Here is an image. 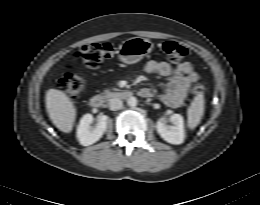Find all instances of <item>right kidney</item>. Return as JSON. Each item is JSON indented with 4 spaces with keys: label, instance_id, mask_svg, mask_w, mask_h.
<instances>
[{
    "label": "right kidney",
    "instance_id": "right-kidney-1",
    "mask_svg": "<svg viewBox=\"0 0 260 205\" xmlns=\"http://www.w3.org/2000/svg\"><path fill=\"white\" fill-rule=\"evenodd\" d=\"M93 121V116L91 114H85L79 123L77 129V138L81 145L89 146L97 142L107 128V116H101L99 119V123L95 128L91 127V123Z\"/></svg>",
    "mask_w": 260,
    "mask_h": 205
}]
</instances>
